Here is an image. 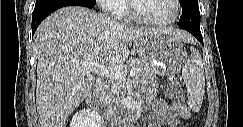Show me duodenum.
I'll list each match as a JSON object with an SVG mask.
<instances>
[{
	"instance_id": "1",
	"label": "duodenum",
	"mask_w": 243,
	"mask_h": 127,
	"mask_svg": "<svg viewBox=\"0 0 243 127\" xmlns=\"http://www.w3.org/2000/svg\"><path fill=\"white\" fill-rule=\"evenodd\" d=\"M105 89V82L99 79L96 82V86L93 91L87 97L88 107L96 113L102 111V93ZM143 106L140 102L136 101L128 107V115L130 119L134 121L138 115L142 112Z\"/></svg>"
}]
</instances>
